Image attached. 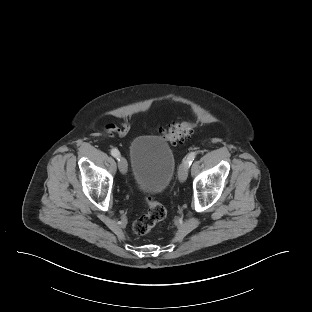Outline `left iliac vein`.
I'll use <instances>...</instances> for the list:
<instances>
[{"label":"left iliac vein","mask_w":312,"mask_h":312,"mask_svg":"<svg viewBox=\"0 0 312 312\" xmlns=\"http://www.w3.org/2000/svg\"><path fill=\"white\" fill-rule=\"evenodd\" d=\"M188 168L189 166L183 162L180 167H179V170H178V179L180 182H184L188 176Z\"/></svg>","instance_id":"4c4485c4"}]
</instances>
